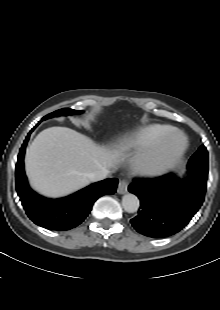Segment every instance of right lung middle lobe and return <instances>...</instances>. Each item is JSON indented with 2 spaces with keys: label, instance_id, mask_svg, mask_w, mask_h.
I'll list each match as a JSON object with an SVG mask.
<instances>
[{
  "label": "right lung middle lobe",
  "instance_id": "dd1d6c3e",
  "mask_svg": "<svg viewBox=\"0 0 220 310\" xmlns=\"http://www.w3.org/2000/svg\"><path fill=\"white\" fill-rule=\"evenodd\" d=\"M80 113H82V111H76L73 109H60V110H57L55 112H52L46 115L42 120H45L51 117L60 116V115H71V114H80Z\"/></svg>",
  "mask_w": 220,
  "mask_h": 310
}]
</instances>
